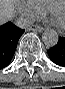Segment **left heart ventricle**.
<instances>
[{"label": "left heart ventricle", "instance_id": "b2bd125f", "mask_svg": "<svg viewBox=\"0 0 65 89\" xmlns=\"http://www.w3.org/2000/svg\"><path fill=\"white\" fill-rule=\"evenodd\" d=\"M53 20L57 25H65V9L63 5H59L53 14Z\"/></svg>", "mask_w": 65, "mask_h": 89}]
</instances>
